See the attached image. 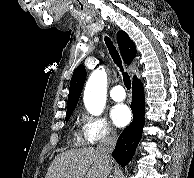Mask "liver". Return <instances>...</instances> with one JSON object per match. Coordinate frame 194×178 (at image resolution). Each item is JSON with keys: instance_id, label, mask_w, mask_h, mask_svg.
<instances>
[{"instance_id": "1", "label": "liver", "mask_w": 194, "mask_h": 178, "mask_svg": "<svg viewBox=\"0 0 194 178\" xmlns=\"http://www.w3.org/2000/svg\"><path fill=\"white\" fill-rule=\"evenodd\" d=\"M111 168L112 162H105L97 149L84 147L57 155L45 178H106Z\"/></svg>"}]
</instances>
